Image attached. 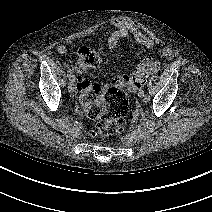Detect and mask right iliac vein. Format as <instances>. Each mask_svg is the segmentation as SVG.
<instances>
[{
	"instance_id": "1",
	"label": "right iliac vein",
	"mask_w": 212,
	"mask_h": 212,
	"mask_svg": "<svg viewBox=\"0 0 212 212\" xmlns=\"http://www.w3.org/2000/svg\"><path fill=\"white\" fill-rule=\"evenodd\" d=\"M68 90L70 93H73L75 91L74 79L69 80Z\"/></svg>"
}]
</instances>
